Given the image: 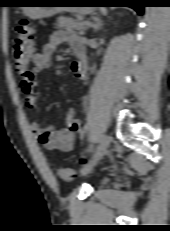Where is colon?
Masks as SVG:
<instances>
[{"label": "colon", "instance_id": "colon-1", "mask_svg": "<svg viewBox=\"0 0 170 231\" xmlns=\"http://www.w3.org/2000/svg\"><path fill=\"white\" fill-rule=\"evenodd\" d=\"M17 36L13 44V59L16 71L24 81L34 79V67L31 65L34 53L33 27L26 19H21L16 25ZM57 176L65 181L74 178L72 169L64 166L56 168Z\"/></svg>", "mask_w": 170, "mask_h": 231}]
</instances>
